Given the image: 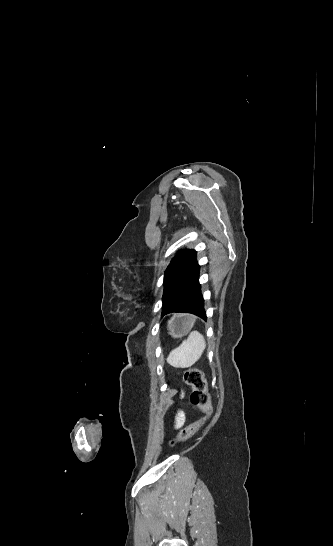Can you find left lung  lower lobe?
<instances>
[{
    "label": "left lung lower lobe",
    "instance_id": "obj_1",
    "mask_svg": "<svg viewBox=\"0 0 333 546\" xmlns=\"http://www.w3.org/2000/svg\"><path fill=\"white\" fill-rule=\"evenodd\" d=\"M199 270L200 266L195 260L172 281L164 298L162 316L173 312H183L207 320L199 284Z\"/></svg>",
    "mask_w": 333,
    "mask_h": 546
}]
</instances>
